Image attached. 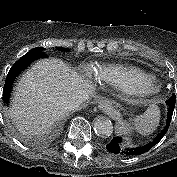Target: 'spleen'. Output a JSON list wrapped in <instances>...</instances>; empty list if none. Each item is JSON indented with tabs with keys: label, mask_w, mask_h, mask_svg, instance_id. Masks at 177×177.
I'll return each mask as SVG.
<instances>
[{
	"label": "spleen",
	"mask_w": 177,
	"mask_h": 177,
	"mask_svg": "<svg viewBox=\"0 0 177 177\" xmlns=\"http://www.w3.org/2000/svg\"><path fill=\"white\" fill-rule=\"evenodd\" d=\"M160 121V110L156 104H151L143 115L134 119L137 131L149 135L155 131Z\"/></svg>",
	"instance_id": "1"
}]
</instances>
